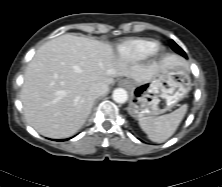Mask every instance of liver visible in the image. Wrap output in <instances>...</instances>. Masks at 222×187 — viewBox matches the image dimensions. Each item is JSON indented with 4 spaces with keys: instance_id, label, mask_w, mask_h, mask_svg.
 <instances>
[{
    "instance_id": "liver-1",
    "label": "liver",
    "mask_w": 222,
    "mask_h": 187,
    "mask_svg": "<svg viewBox=\"0 0 222 187\" xmlns=\"http://www.w3.org/2000/svg\"><path fill=\"white\" fill-rule=\"evenodd\" d=\"M172 65L185 66V61L169 54L151 64L130 63L116 56L110 44L64 34L43 44L27 66L20 94L25 119L43 136L70 137L91 113L96 99L91 86L109 87L122 76L146 82Z\"/></svg>"
}]
</instances>
